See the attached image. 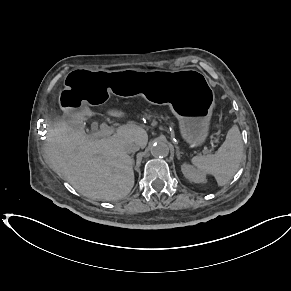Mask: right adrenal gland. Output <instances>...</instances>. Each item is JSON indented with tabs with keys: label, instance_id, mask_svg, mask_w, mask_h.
I'll return each instance as SVG.
<instances>
[{
	"label": "right adrenal gland",
	"instance_id": "1",
	"mask_svg": "<svg viewBox=\"0 0 291 291\" xmlns=\"http://www.w3.org/2000/svg\"><path fill=\"white\" fill-rule=\"evenodd\" d=\"M131 157H132V161H133V165H134V158H133V155H132Z\"/></svg>",
	"mask_w": 291,
	"mask_h": 291
}]
</instances>
